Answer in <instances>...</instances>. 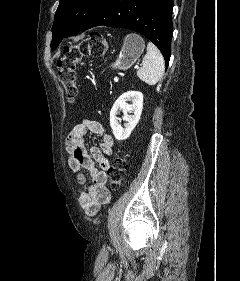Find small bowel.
Segmentation results:
<instances>
[{"label":"small bowel","instance_id":"small-bowel-1","mask_svg":"<svg viewBox=\"0 0 240 281\" xmlns=\"http://www.w3.org/2000/svg\"><path fill=\"white\" fill-rule=\"evenodd\" d=\"M92 133L101 138L99 147L93 146L87 150L86 136ZM114 140L108 134L106 127L98 121L84 119L74 126L66 139L68 166L77 173L78 199L88 216L96 215L111 201V194L106 187L107 171L110 167L107 156L112 155ZM87 170L91 184L81 172Z\"/></svg>","mask_w":240,"mask_h":281}]
</instances>
